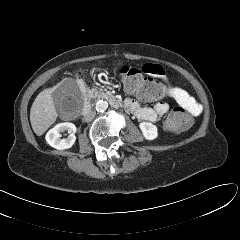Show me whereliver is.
<instances>
[{
	"instance_id": "liver-1",
	"label": "liver",
	"mask_w": 240,
	"mask_h": 240,
	"mask_svg": "<svg viewBox=\"0 0 240 240\" xmlns=\"http://www.w3.org/2000/svg\"><path fill=\"white\" fill-rule=\"evenodd\" d=\"M67 80L64 79L53 88L41 91L34 100L30 110V122L37 136L43 135L55 123L57 112L51 94Z\"/></svg>"
}]
</instances>
